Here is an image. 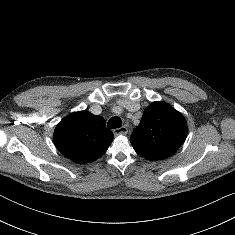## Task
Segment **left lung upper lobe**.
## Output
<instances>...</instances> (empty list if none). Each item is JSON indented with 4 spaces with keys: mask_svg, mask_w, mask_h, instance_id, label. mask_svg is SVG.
Returning a JSON list of instances; mask_svg holds the SVG:
<instances>
[{
    "mask_svg": "<svg viewBox=\"0 0 235 235\" xmlns=\"http://www.w3.org/2000/svg\"><path fill=\"white\" fill-rule=\"evenodd\" d=\"M188 129L183 115L164 102H153L143 112L130 142L135 151L150 160L173 155L185 141Z\"/></svg>",
    "mask_w": 235,
    "mask_h": 235,
    "instance_id": "left-lung-upper-lobe-1",
    "label": "left lung upper lobe"
}]
</instances>
